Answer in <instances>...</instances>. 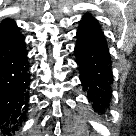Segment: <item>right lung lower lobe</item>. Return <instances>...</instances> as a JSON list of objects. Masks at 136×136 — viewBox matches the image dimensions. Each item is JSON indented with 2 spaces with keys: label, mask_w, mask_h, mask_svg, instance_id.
<instances>
[{
  "label": "right lung lower lobe",
  "mask_w": 136,
  "mask_h": 136,
  "mask_svg": "<svg viewBox=\"0 0 136 136\" xmlns=\"http://www.w3.org/2000/svg\"><path fill=\"white\" fill-rule=\"evenodd\" d=\"M27 70L24 36L0 41V133L17 132V124L21 125L26 117L28 95L25 91L29 85Z\"/></svg>",
  "instance_id": "obj_1"
}]
</instances>
